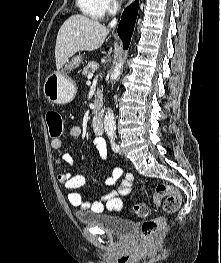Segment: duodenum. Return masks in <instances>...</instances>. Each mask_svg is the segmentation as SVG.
I'll use <instances>...</instances> for the list:
<instances>
[{
	"mask_svg": "<svg viewBox=\"0 0 221 263\" xmlns=\"http://www.w3.org/2000/svg\"><path fill=\"white\" fill-rule=\"evenodd\" d=\"M92 127L95 133L102 134L104 132L103 118L101 114H96L92 120Z\"/></svg>",
	"mask_w": 221,
	"mask_h": 263,
	"instance_id": "duodenum-1",
	"label": "duodenum"
}]
</instances>
